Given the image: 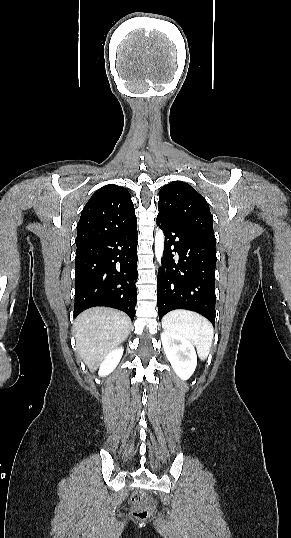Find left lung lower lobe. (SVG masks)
Instances as JSON below:
<instances>
[{
  "mask_svg": "<svg viewBox=\"0 0 291 538\" xmlns=\"http://www.w3.org/2000/svg\"><path fill=\"white\" fill-rule=\"evenodd\" d=\"M165 235L157 280L159 319L174 309H186L215 323L216 239L214 235L175 226L159 216ZM172 252L178 253L175 258Z\"/></svg>",
  "mask_w": 291,
  "mask_h": 538,
  "instance_id": "obj_1",
  "label": "left lung lower lobe"
}]
</instances>
